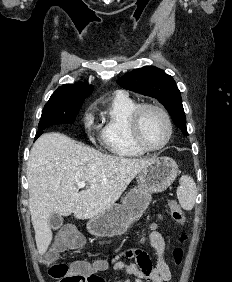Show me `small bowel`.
Listing matches in <instances>:
<instances>
[{"label":"small bowel","instance_id":"small-bowel-1","mask_svg":"<svg viewBox=\"0 0 232 282\" xmlns=\"http://www.w3.org/2000/svg\"><path fill=\"white\" fill-rule=\"evenodd\" d=\"M149 242L156 254V265L152 264L145 252L139 250L137 256L123 254L127 258H134L136 263H126L115 258L109 262L98 261L94 268L105 270L111 267L114 271L124 272L127 278L123 282H170L171 271L165 260L166 245L162 234L153 229L149 234ZM89 282H106V280L95 274Z\"/></svg>","mask_w":232,"mask_h":282}]
</instances>
